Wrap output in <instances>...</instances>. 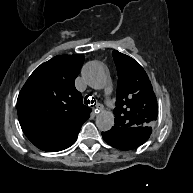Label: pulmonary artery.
<instances>
[{"mask_svg":"<svg viewBox=\"0 0 193 193\" xmlns=\"http://www.w3.org/2000/svg\"><path fill=\"white\" fill-rule=\"evenodd\" d=\"M111 89V84L110 82L107 83V86L105 88V96H107V92H110ZM107 101H110L109 99H107Z\"/></svg>","mask_w":193,"mask_h":193,"instance_id":"e3ab8cb5","label":"pulmonary artery"}]
</instances>
